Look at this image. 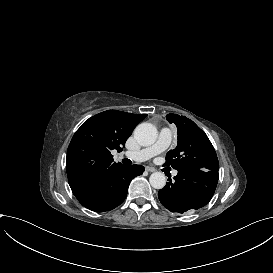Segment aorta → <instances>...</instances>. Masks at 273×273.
Wrapping results in <instances>:
<instances>
[{
	"label": "aorta",
	"instance_id": "obj_1",
	"mask_svg": "<svg viewBox=\"0 0 273 273\" xmlns=\"http://www.w3.org/2000/svg\"><path fill=\"white\" fill-rule=\"evenodd\" d=\"M136 141L142 146H150L157 139V129L151 123H141L134 130ZM151 186L155 189H162L166 185V177L162 172H154L149 178Z\"/></svg>",
	"mask_w": 273,
	"mask_h": 273
}]
</instances>
